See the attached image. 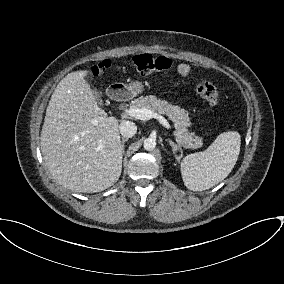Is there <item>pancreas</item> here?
<instances>
[{
    "label": "pancreas",
    "instance_id": "cf45deb5",
    "mask_svg": "<svg viewBox=\"0 0 284 284\" xmlns=\"http://www.w3.org/2000/svg\"><path fill=\"white\" fill-rule=\"evenodd\" d=\"M131 107L146 108L153 112L167 115L174 123L176 141L185 149H197L202 146V138L188 130V127L191 126L188 113L179 106H174L166 100H160L154 95H149L135 99Z\"/></svg>",
    "mask_w": 284,
    "mask_h": 284
}]
</instances>
